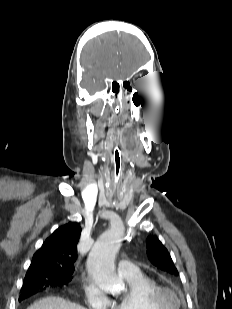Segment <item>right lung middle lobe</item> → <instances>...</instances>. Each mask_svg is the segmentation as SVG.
Wrapping results in <instances>:
<instances>
[{"label":"right lung middle lobe","instance_id":"1","mask_svg":"<svg viewBox=\"0 0 232 309\" xmlns=\"http://www.w3.org/2000/svg\"><path fill=\"white\" fill-rule=\"evenodd\" d=\"M70 280V276L50 272H38L26 275L21 288L19 301L30 297L46 287L67 284Z\"/></svg>","mask_w":232,"mask_h":309}]
</instances>
